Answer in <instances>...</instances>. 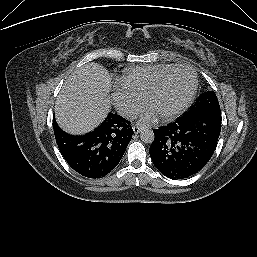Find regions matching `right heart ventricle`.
<instances>
[{"instance_id":"1","label":"right heart ventricle","mask_w":257,"mask_h":257,"mask_svg":"<svg viewBox=\"0 0 257 257\" xmlns=\"http://www.w3.org/2000/svg\"><path fill=\"white\" fill-rule=\"evenodd\" d=\"M172 64H153L127 69L122 75L120 89L131 92L141 98H146L156 79L171 68Z\"/></svg>"}]
</instances>
